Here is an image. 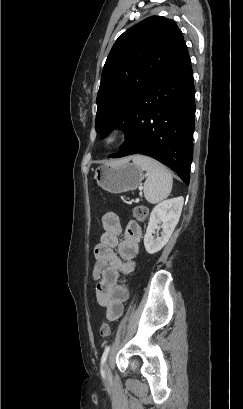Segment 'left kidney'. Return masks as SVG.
<instances>
[{"mask_svg": "<svg viewBox=\"0 0 243 409\" xmlns=\"http://www.w3.org/2000/svg\"><path fill=\"white\" fill-rule=\"evenodd\" d=\"M183 203V197H177L165 200L153 208L144 236V246L149 254L160 251L168 242L179 221ZM160 229L161 236L155 238L153 234Z\"/></svg>", "mask_w": 243, "mask_h": 409, "instance_id": "5707ae66", "label": "left kidney"}]
</instances>
